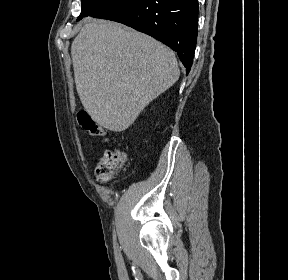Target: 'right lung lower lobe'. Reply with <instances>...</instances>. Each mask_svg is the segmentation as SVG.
<instances>
[{
	"label": "right lung lower lobe",
	"instance_id": "right-lung-lower-lobe-1",
	"mask_svg": "<svg viewBox=\"0 0 288 280\" xmlns=\"http://www.w3.org/2000/svg\"><path fill=\"white\" fill-rule=\"evenodd\" d=\"M90 16L123 23L173 49L191 69L197 40L198 0H111Z\"/></svg>",
	"mask_w": 288,
	"mask_h": 280
}]
</instances>
